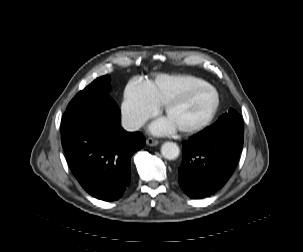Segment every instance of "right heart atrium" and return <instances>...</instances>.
<instances>
[{"mask_svg":"<svg viewBox=\"0 0 303 252\" xmlns=\"http://www.w3.org/2000/svg\"><path fill=\"white\" fill-rule=\"evenodd\" d=\"M158 110L159 105L151 100L143 84L136 81L128 84L121 104V118L126 128L138 129Z\"/></svg>","mask_w":303,"mask_h":252,"instance_id":"1","label":"right heart atrium"}]
</instances>
